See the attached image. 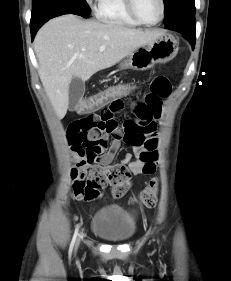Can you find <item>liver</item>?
Wrapping results in <instances>:
<instances>
[{"instance_id":"1","label":"liver","mask_w":231,"mask_h":281,"mask_svg":"<svg viewBox=\"0 0 231 281\" xmlns=\"http://www.w3.org/2000/svg\"><path fill=\"white\" fill-rule=\"evenodd\" d=\"M163 34L160 30L142 31L116 22L81 20L73 14L48 21L38 31L34 49L42 85L58 118L67 113L73 77L87 81ZM100 46H105L103 52L99 51Z\"/></svg>"}]
</instances>
